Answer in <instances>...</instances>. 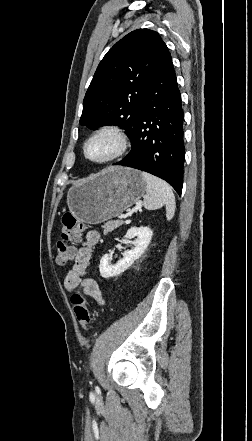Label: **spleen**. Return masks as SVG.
<instances>
[{
    "label": "spleen",
    "instance_id": "obj_1",
    "mask_svg": "<svg viewBox=\"0 0 252 441\" xmlns=\"http://www.w3.org/2000/svg\"><path fill=\"white\" fill-rule=\"evenodd\" d=\"M146 183V195L144 196V207L148 210H155L165 206L166 218L171 220L175 213V196L169 184L165 181L146 172L141 173Z\"/></svg>",
    "mask_w": 252,
    "mask_h": 441
}]
</instances>
